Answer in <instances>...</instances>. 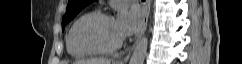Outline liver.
Returning a JSON list of instances; mask_svg holds the SVG:
<instances>
[{
  "mask_svg": "<svg viewBox=\"0 0 242 64\" xmlns=\"http://www.w3.org/2000/svg\"><path fill=\"white\" fill-rule=\"evenodd\" d=\"M76 64H111L110 59H90V60H83V61H77ZM112 64H115L113 62Z\"/></svg>",
  "mask_w": 242,
  "mask_h": 64,
  "instance_id": "obj_1",
  "label": "liver"
}]
</instances>
